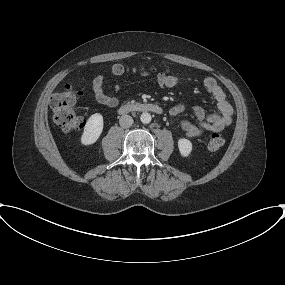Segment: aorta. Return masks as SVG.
Returning a JSON list of instances; mask_svg holds the SVG:
<instances>
[{"instance_id":"762f6f07","label":"aorta","mask_w":285,"mask_h":285,"mask_svg":"<svg viewBox=\"0 0 285 285\" xmlns=\"http://www.w3.org/2000/svg\"><path fill=\"white\" fill-rule=\"evenodd\" d=\"M151 119H152L151 115L149 113H147V112L142 113L141 116H140V120L144 124L150 123Z\"/></svg>"}]
</instances>
